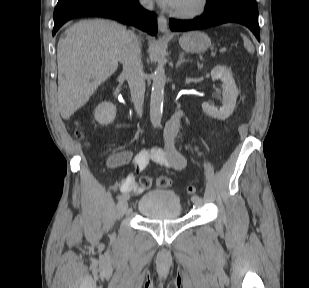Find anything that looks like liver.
Masks as SVG:
<instances>
[{"instance_id":"6515ba94","label":"liver","mask_w":309,"mask_h":288,"mask_svg":"<svg viewBox=\"0 0 309 288\" xmlns=\"http://www.w3.org/2000/svg\"><path fill=\"white\" fill-rule=\"evenodd\" d=\"M126 27L103 19L83 20L65 31L57 48L58 107L69 119L118 68Z\"/></svg>"}]
</instances>
